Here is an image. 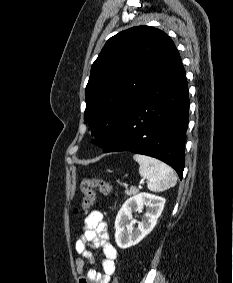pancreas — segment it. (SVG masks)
<instances>
[{
    "instance_id": "obj_1",
    "label": "pancreas",
    "mask_w": 233,
    "mask_h": 283,
    "mask_svg": "<svg viewBox=\"0 0 233 283\" xmlns=\"http://www.w3.org/2000/svg\"><path fill=\"white\" fill-rule=\"evenodd\" d=\"M139 192L138 189L131 187L130 190L125 191L126 196L136 195Z\"/></svg>"
}]
</instances>
